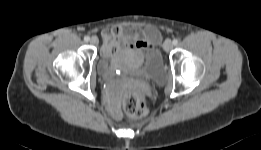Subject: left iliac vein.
I'll use <instances>...</instances> for the list:
<instances>
[{"instance_id":"1","label":"left iliac vein","mask_w":261,"mask_h":150,"mask_svg":"<svg viewBox=\"0 0 261 150\" xmlns=\"http://www.w3.org/2000/svg\"><path fill=\"white\" fill-rule=\"evenodd\" d=\"M173 47V42L171 40H166L164 42L163 48L166 52L170 51Z\"/></svg>"}]
</instances>
